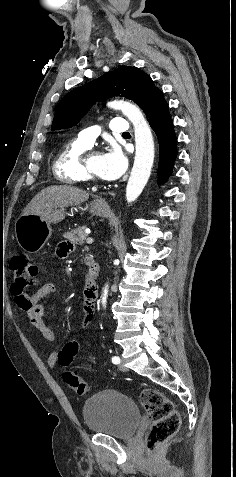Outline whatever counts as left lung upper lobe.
Returning <instances> with one entry per match:
<instances>
[{
    "label": "left lung upper lobe",
    "instance_id": "left-lung-upper-lobe-1",
    "mask_svg": "<svg viewBox=\"0 0 236 477\" xmlns=\"http://www.w3.org/2000/svg\"><path fill=\"white\" fill-rule=\"evenodd\" d=\"M158 90L137 67L121 66L68 93L56 108L52 130L77 124L95 102L113 96L131 99L146 112Z\"/></svg>",
    "mask_w": 236,
    "mask_h": 477
}]
</instances>
